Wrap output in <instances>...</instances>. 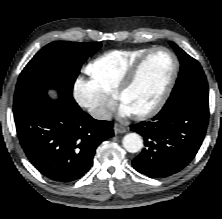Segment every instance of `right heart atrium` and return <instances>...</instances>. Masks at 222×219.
Returning a JSON list of instances; mask_svg holds the SVG:
<instances>
[{"mask_svg":"<svg viewBox=\"0 0 222 219\" xmlns=\"http://www.w3.org/2000/svg\"><path fill=\"white\" fill-rule=\"evenodd\" d=\"M74 101L98 121L107 120L114 108V100L101 94L91 80L77 77L72 86Z\"/></svg>","mask_w":222,"mask_h":219,"instance_id":"right-heart-atrium-1","label":"right heart atrium"}]
</instances>
